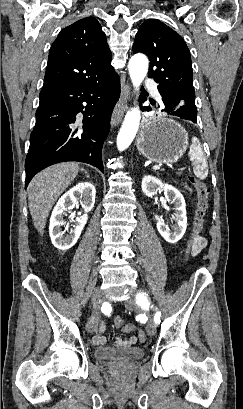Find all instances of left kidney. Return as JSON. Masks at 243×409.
Here are the masks:
<instances>
[{
    "label": "left kidney",
    "instance_id": "5707ae66",
    "mask_svg": "<svg viewBox=\"0 0 243 409\" xmlns=\"http://www.w3.org/2000/svg\"><path fill=\"white\" fill-rule=\"evenodd\" d=\"M159 190H164L166 200L174 205L176 224L173 226L174 231H171L164 221L156 215L157 230L167 242L176 243L183 237L187 228L185 200L175 187L162 183L156 177L148 175L142 179V191L147 197L154 196Z\"/></svg>",
    "mask_w": 243,
    "mask_h": 409
}]
</instances>
